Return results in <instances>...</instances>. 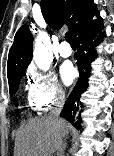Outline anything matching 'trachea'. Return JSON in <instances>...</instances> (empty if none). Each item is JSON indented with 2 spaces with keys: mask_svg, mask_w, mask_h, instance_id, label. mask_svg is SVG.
I'll use <instances>...</instances> for the list:
<instances>
[{
  "mask_svg": "<svg viewBox=\"0 0 114 156\" xmlns=\"http://www.w3.org/2000/svg\"><path fill=\"white\" fill-rule=\"evenodd\" d=\"M65 39H66V41L69 43V44H75V42H74V39H73V36H72V34L70 33V32H66L65 33Z\"/></svg>",
  "mask_w": 114,
  "mask_h": 156,
  "instance_id": "obj_1",
  "label": "trachea"
}]
</instances>
